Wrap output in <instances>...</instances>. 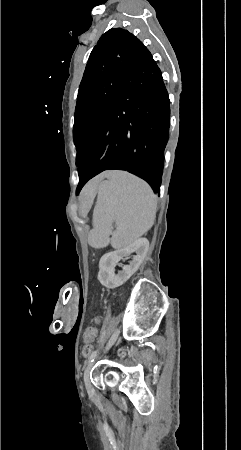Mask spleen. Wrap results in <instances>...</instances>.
<instances>
[{
    "label": "spleen",
    "mask_w": 241,
    "mask_h": 450,
    "mask_svg": "<svg viewBox=\"0 0 241 450\" xmlns=\"http://www.w3.org/2000/svg\"><path fill=\"white\" fill-rule=\"evenodd\" d=\"M98 200L99 210L109 211L96 212L94 227L89 230L87 243L98 252L107 244L115 250L133 244L154 224L156 196L147 182L133 174L119 170L111 172L99 186ZM114 220L117 224L115 232L111 229ZM108 232L113 233L112 238Z\"/></svg>",
    "instance_id": "obj_1"
}]
</instances>
